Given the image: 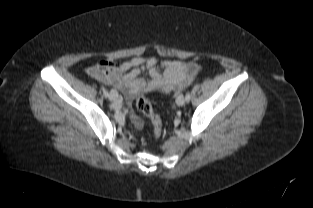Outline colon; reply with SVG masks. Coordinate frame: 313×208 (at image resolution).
I'll use <instances>...</instances> for the list:
<instances>
[{
	"label": "colon",
	"instance_id": "obj_1",
	"mask_svg": "<svg viewBox=\"0 0 313 208\" xmlns=\"http://www.w3.org/2000/svg\"><path fill=\"white\" fill-rule=\"evenodd\" d=\"M136 107L144 117L151 121L154 137L158 139L162 135L163 124L161 118L154 112L148 98L144 95L139 96L136 100Z\"/></svg>",
	"mask_w": 313,
	"mask_h": 208
}]
</instances>
